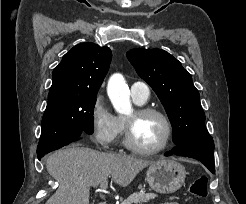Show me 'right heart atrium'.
I'll return each mask as SVG.
<instances>
[{
	"instance_id": "1",
	"label": "right heart atrium",
	"mask_w": 246,
	"mask_h": 204,
	"mask_svg": "<svg viewBox=\"0 0 246 204\" xmlns=\"http://www.w3.org/2000/svg\"><path fill=\"white\" fill-rule=\"evenodd\" d=\"M91 138L100 148H108L118 133V117L111 111L105 97L98 94L90 111Z\"/></svg>"
}]
</instances>
